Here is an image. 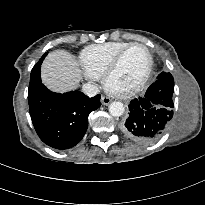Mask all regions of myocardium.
I'll return each mask as SVG.
<instances>
[{
	"label": "myocardium",
	"instance_id": "myocardium-1",
	"mask_svg": "<svg viewBox=\"0 0 205 205\" xmlns=\"http://www.w3.org/2000/svg\"><path fill=\"white\" fill-rule=\"evenodd\" d=\"M133 47H142L146 51V53L148 55V60H149L148 67H147L144 75L142 76V78L134 86L127 88V89H116V88L111 86L110 80H111L113 74L118 69L124 55ZM153 64H154V61H153L152 53L146 45H144L142 43H131L130 45H128L127 47L122 49L115 56V58L112 60V62L110 63V65L108 66L106 71L104 72V74L102 76L103 87L109 94H111L115 97L126 98V97L133 96L136 93L140 92L144 88V86L147 84L148 80L151 77L152 71H153Z\"/></svg>",
	"mask_w": 205,
	"mask_h": 205
}]
</instances>
